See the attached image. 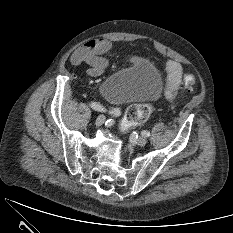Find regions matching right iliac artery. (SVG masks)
I'll return each mask as SVG.
<instances>
[{"label": "right iliac artery", "mask_w": 233, "mask_h": 233, "mask_svg": "<svg viewBox=\"0 0 233 233\" xmlns=\"http://www.w3.org/2000/svg\"><path fill=\"white\" fill-rule=\"evenodd\" d=\"M90 106L94 109V110H97V111H100V112H104L112 117H118L120 116V110L118 108H113V107H105V106H102L101 104L99 103H96V102H92L90 104Z\"/></svg>", "instance_id": "right-iliac-artery-1"}]
</instances>
